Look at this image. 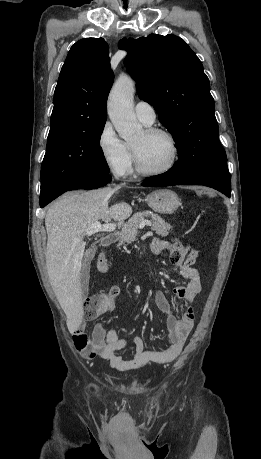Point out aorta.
Wrapping results in <instances>:
<instances>
[{
	"mask_svg": "<svg viewBox=\"0 0 261 459\" xmlns=\"http://www.w3.org/2000/svg\"><path fill=\"white\" fill-rule=\"evenodd\" d=\"M134 82L127 76H121L114 84L108 98V115L124 140L137 137L142 131V125L134 113Z\"/></svg>",
	"mask_w": 261,
	"mask_h": 459,
	"instance_id": "aorta-1",
	"label": "aorta"
}]
</instances>
